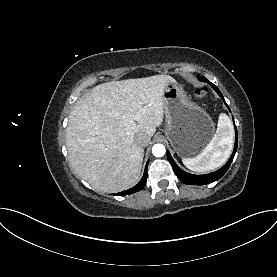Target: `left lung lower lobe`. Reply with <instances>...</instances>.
Returning a JSON list of instances; mask_svg holds the SVG:
<instances>
[{
  "label": "left lung lower lobe",
  "instance_id": "0a47b994",
  "mask_svg": "<svg viewBox=\"0 0 277 277\" xmlns=\"http://www.w3.org/2000/svg\"><path fill=\"white\" fill-rule=\"evenodd\" d=\"M199 79L201 81H204L208 84L211 85V87L218 93V95L224 100L223 95L221 94V92L219 91V89L210 81H208L206 78L204 77H199ZM225 102V101H224ZM226 104V103H225ZM227 105V104H226ZM235 133H236V138H235V147L233 150V153L230 157V159L228 160V162L219 170H217L216 172L210 173V174H205V175H193V174H189L185 171H183L182 169H180L176 163L174 162V160L172 159L169 151H167V158L169 160V162L171 163L173 170L176 174V176L180 179L181 182L185 183V184H189V185H204V184H209L212 183L218 179H220L228 170L231 162L233 161L234 155L236 153L237 150V143H238V136H237V129L235 127Z\"/></svg>",
  "mask_w": 277,
  "mask_h": 277
}]
</instances>
